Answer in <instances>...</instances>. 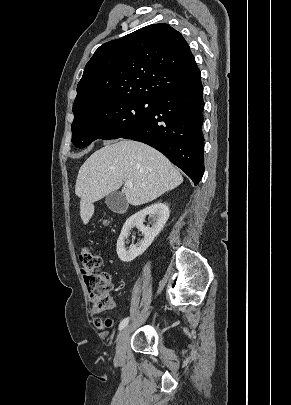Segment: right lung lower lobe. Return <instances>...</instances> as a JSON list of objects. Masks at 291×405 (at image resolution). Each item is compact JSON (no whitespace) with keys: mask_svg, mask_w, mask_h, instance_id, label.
<instances>
[{"mask_svg":"<svg viewBox=\"0 0 291 405\" xmlns=\"http://www.w3.org/2000/svg\"><path fill=\"white\" fill-rule=\"evenodd\" d=\"M202 93L200 75L164 90L146 120L121 138L157 149L198 184L204 172Z\"/></svg>","mask_w":291,"mask_h":405,"instance_id":"1","label":"right lung lower lobe"}]
</instances>
